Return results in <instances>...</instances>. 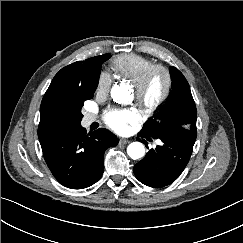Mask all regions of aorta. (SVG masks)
Segmentation results:
<instances>
[{"label": "aorta", "instance_id": "aorta-1", "mask_svg": "<svg viewBox=\"0 0 243 243\" xmlns=\"http://www.w3.org/2000/svg\"><path fill=\"white\" fill-rule=\"evenodd\" d=\"M111 97L116 102L125 103L130 99V92L123 85H115L111 89ZM127 153L131 159L137 160L145 155V147L140 142H132L127 147Z\"/></svg>", "mask_w": 243, "mask_h": 243}]
</instances>
